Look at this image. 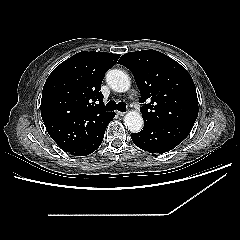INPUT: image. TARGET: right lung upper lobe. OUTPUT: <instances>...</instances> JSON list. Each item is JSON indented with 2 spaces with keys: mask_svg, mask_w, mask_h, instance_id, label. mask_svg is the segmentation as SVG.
Wrapping results in <instances>:
<instances>
[{
  "mask_svg": "<svg viewBox=\"0 0 240 240\" xmlns=\"http://www.w3.org/2000/svg\"><path fill=\"white\" fill-rule=\"evenodd\" d=\"M119 54L82 51L58 65L47 78L41 116L51 138L66 152L92 143L113 112L104 109L100 92L105 73Z\"/></svg>",
  "mask_w": 240,
  "mask_h": 240,
  "instance_id": "1",
  "label": "right lung upper lobe"
}]
</instances>
